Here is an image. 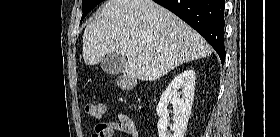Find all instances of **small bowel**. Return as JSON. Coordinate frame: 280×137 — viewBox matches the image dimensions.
Returning <instances> with one entry per match:
<instances>
[{"label":"small bowel","instance_id":"c3829d8e","mask_svg":"<svg viewBox=\"0 0 280 137\" xmlns=\"http://www.w3.org/2000/svg\"><path fill=\"white\" fill-rule=\"evenodd\" d=\"M116 132H121L125 137H139L136 128L130 124L125 116H120L119 121L99 123L94 127L92 137H113Z\"/></svg>","mask_w":280,"mask_h":137}]
</instances>
